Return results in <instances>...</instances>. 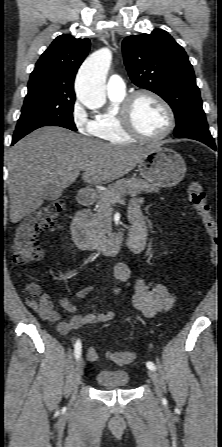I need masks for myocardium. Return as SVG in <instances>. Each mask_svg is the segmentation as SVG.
Listing matches in <instances>:
<instances>
[{
  "label": "myocardium",
  "instance_id": "myocardium-1",
  "mask_svg": "<svg viewBox=\"0 0 222 447\" xmlns=\"http://www.w3.org/2000/svg\"><path fill=\"white\" fill-rule=\"evenodd\" d=\"M141 96H148L161 105L167 115V126L158 136H147L141 133L133 122V107ZM119 124L124 133L135 140L142 142H159L168 137L175 128V114L169 103L158 93L149 89H139L127 94L118 107Z\"/></svg>",
  "mask_w": 222,
  "mask_h": 447
}]
</instances>
